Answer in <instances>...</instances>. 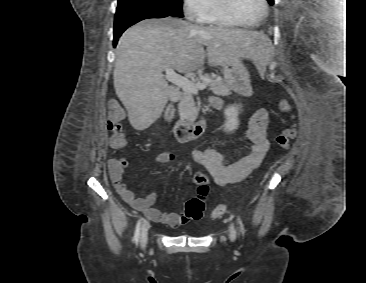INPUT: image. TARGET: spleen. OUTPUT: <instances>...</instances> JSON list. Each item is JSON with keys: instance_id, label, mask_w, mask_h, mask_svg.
<instances>
[{"instance_id": "spleen-1", "label": "spleen", "mask_w": 366, "mask_h": 283, "mask_svg": "<svg viewBox=\"0 0 366 283\" xmlns=\"http://www.w3.org/2000/svg\"><path fill=\"white\" fill-rule=\"evenodd\" d=\"M258 70H259V71H262V67H261V65H260V66H258Z\"/></svg>"}]
</instances>
